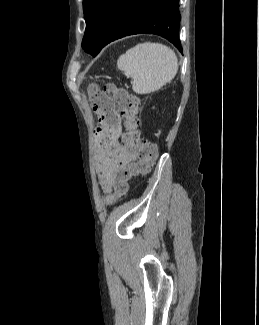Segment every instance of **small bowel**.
<instances>
[{
  "label": "small bowel",
  "instance_id": "obj_1",
  "mask_svg": "<svg viewBox=\"0 0 259 325\" xmlns=\"http://www.w3.org/2000/svg\"><path fill=\"white\" fill-rule=\"evenodd\" d=\"M114 114L117 117L119 128L111 131L99 130L97 135V175L99 183L106 193L112 190L113 179L117 172L138 162L137 155L121 137V119L117 112Z\"/></svg>",
  "mask_w": 259,
  "mask_h": 325
}]
</instances>
